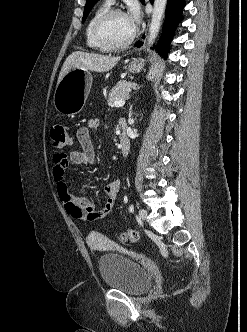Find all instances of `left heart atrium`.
Wrapping results in <instances>:
<instances>
[{"label": "left heart atrium", "mask_w": 247, "mask_h": 332, "mask_svg": "<svg viewBox=\"0 0 247 332\" xmlns=\"http://www.w3.org/2000/svg\"><path fill=\"white\" fill-rule=\"evenodd\" d=\"M129 22L132 24V26L135 28L136 25L139 23L140 21V11L136 6H133L129 13L126 15Z\"/></svg>", "instance_id": "left-heart-atrium-1"}]
</instances>
